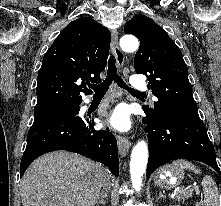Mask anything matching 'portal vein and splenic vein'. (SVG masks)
I'll return each instance as SVG.
<instances>
[{"label": "portal vein and splenic vein", "mask_w": 221, "mask_h": 206, "mask_svg": "<svg viewBox=\"0 0 221 206\" xmlns=\"http://www.w3.org/2000/svg\"><path fill=\"white\" fill-rule=\"evenodd\" d=\"M192 190H194L197 194L200 193V190H199V187H198V186H194V187L192 188Z\"/></svg>", "instance_id": "18ae733b"}]
</instances>
